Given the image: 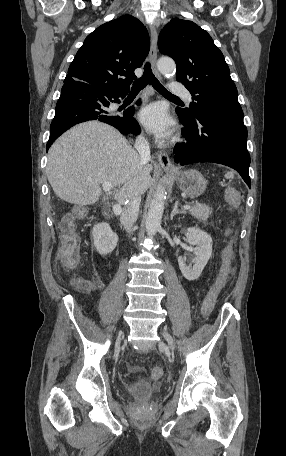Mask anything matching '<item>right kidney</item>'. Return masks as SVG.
<instances>
[{"label": "right kidney", "instance_id": "obj_1", "mask_svg": "<svg viewBox=\"0 0 286 456\" xmlns=\"http://www.w3.org/2000/svg\"><path fill=\"white\" fill-rule=\"evenodd\" d=\"M94 246L100 255L111 253L118 242V236L114 233L108 223L96 224L92 229Z\"/></svg>", "mask_w": 286, "mask_h": 456}]
</instances>
